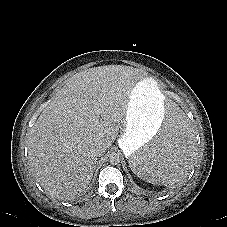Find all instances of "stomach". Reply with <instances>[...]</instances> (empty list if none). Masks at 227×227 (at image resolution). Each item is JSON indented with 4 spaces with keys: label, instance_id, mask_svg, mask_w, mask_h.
Segmentation results:
<instances>
[{
    "label": "stomach",
    "instance_id": "stomach-1",
    "mask_svg": "<svg viewBox=\"0 0 227 227\" xmlns=\"http://www.w3.org/2000/svg\"><path fill=\"white\" fill-rule=\"evenodd\" d=\"M165 119L166 101L158 83L152 77H141L131 92L121 137V148L128 161L155 137Z\"/></svg>",
    "mask_w": 227,
    "mask_h": 227
}]
</instances>
